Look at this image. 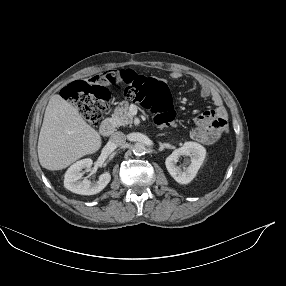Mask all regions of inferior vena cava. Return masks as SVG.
<instances>
[{
	"mask_svg": "<svg viewBox=\"0 0 286 286\" xmlns=\"http://www.w3.org/2000/svg\"><path fill=\"white\" fill-rule=\"evenodd\" d=\"M110 142L115 147L123 146L126 142V136L120 131L115 132L111 135Z\"/></svg>",
	"mask_w": 286,
	"mask_h": 286,
	"instance_id": "602c4592",
	"label": "inferior vena cava"
}]
</instances>
